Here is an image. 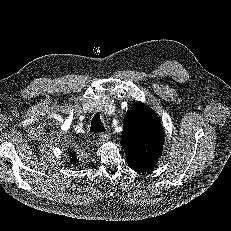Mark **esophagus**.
<instances>
[{"mask_svg":"<svg viewBox=\"0 0 231 231\" xmlns=\"http://www.w3.org/2000/svg\"><path fill=\"white\" fill-rule=\"evenodd\" d=\"M97 137L100 141L105 142L109 140L110 133L109 132L99 133Z\"/></svg>","mask_w":231,"mask_h":231,"instance_id":"esophagus-1","label":"esophagus"}]
</instances>
